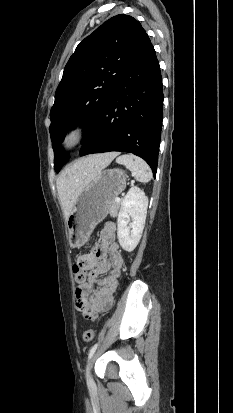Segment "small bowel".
Instances as JSON below:
<instances>
[{
	"label": "small bowel",
	"mask_w": 233,
	"mask_h": 413,
	"mask_svg": "<svg viewBox=\"0 0 233 413\" xmlns=\"http://www.w3.org/2000/svg\"><path fill=\"white\" fill-rule=\"evenodd\" d=\"M116 226L107 223L101 232V239L93 253L82 255L78 261L88 270V280L76 288L77 309L88 319H95L99 313L109 310L123 267L121 250L115 241ZM108 273L102 280L98 276ZM99 284L100 287L95 288Z\"/></svg>",
	"instance_id": "c3829d8e"
}]
</instances>
